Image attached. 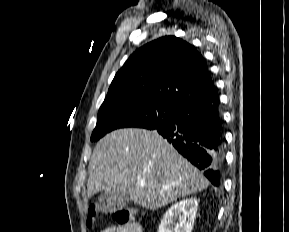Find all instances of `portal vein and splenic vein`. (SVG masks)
<instances>
[{"label": "portal vein and splenic vein", "instance_id": "1", "mask_svg": "<svg viewBox=\"0 0 289 232\" xmlns=\"http://www.w3.org/2000/svg\"><path fill=\"white\" fill-rule=\"evenodd\" d=\"M141 186H145V184L143 182L140 183Z\"/></svg>", "mask_w": 289, "mask_h": 232}]
</instances>
